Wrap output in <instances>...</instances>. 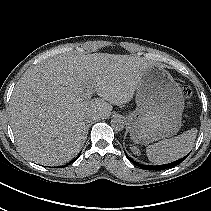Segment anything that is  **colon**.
<instances>
[{"instance_id": "colon-1", "label": "colon", "mask_w": 211, "mask_h": 211, "mask_svg": "<svg viewBox=\"0 0 211 211\" xmlns=\"http://www.w3.org/2000/svg\"><path fill=\"white\" fill-rule=\"evenodd\" d=\"M183 93H184V96H185L186 98H190V97H191V90H190V88L185 87V88L183 89Z\"/></svg>"}]
</instances>
